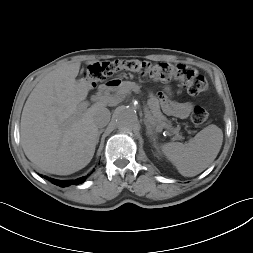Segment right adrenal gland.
I'll use <instances>...</instances> for the list:
<instances>
[{
	"label": "right adrenal gland",
	"instance_id": "2a0ac1e0",
	"mask_svg": "<svg viewBox=\"0 0 253 253\" xmlns=\"http://www.w3.org/2000/svg\"><path fill=\"white\" fill-rule=\"evenodd\" d=\"M103 131H104L103 129H100V130H99L97 142L99 141V137H100V135L102 134Z\"/></svg>",
	"mask_w": 253,
	"mask_h": 253
}]
</instances>
